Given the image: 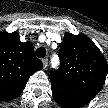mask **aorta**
<instances>
[{"label": "aorta", "mask_w": 108, "mask_h": 108, "mask_svg": "<svg viewBox=\"0 0 108 108\" xmlns=\"http://www.w3.org/2000/svg\"><path fill=\"white\" fill-rule=\"evenodd\" d=\"M58 64H59V60L56 57H53V59H52V66L54 68H56L58 66Z\"/></svg>", "instance_id": "aorta-1"}]
</instances>
